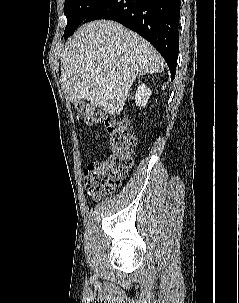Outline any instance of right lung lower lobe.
Listing matches in <instances>:
<instances>
[{
    "label": "right lung lower lobe",
    "instance_id": "right-lung-lower-lobe-1",
    "mask_svg": "<svg viewBox=\"0 0 239 303\" xmlns=\"http://www.w3.org/2000/svg\"><path fill=\"white\" fill-rule=\"evenodd\" d=\"M180 0H106L83 23L114 20L148 40L163 56L175 77L179 52Z\"/></svg>",
    "mask_w": 239,
    "mask_h": 303
}]
</instances>
